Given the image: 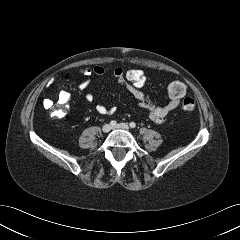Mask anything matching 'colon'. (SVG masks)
Wrapping results in <instances>:
<instances>
[{
	"instance_id": "1",
	"label": "colon",
	"mask_w": 240,
	"mask_h": 240,
	"mask_svg": "<svg viewBox=\"0 0 240 240\" xmlns=\"http://www.w3.org/2000/svg\"><path fill=\"white\" fill-rule=\"evenodd\" d=\"M125 78L127 82L134 88L141 90L147 84V75L140 67H130L125 70ZM187 86L182 81H172L167 86V93L170 99H183L182 109L184 111H193L196 108V102L191 97H185ZM66 113L64 101L58 96L57 105L53 109L55 117H61Z\"/></svg>"
}]
</instances>
